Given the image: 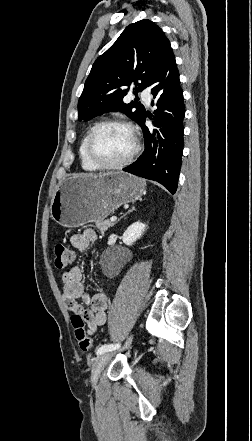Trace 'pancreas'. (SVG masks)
I'll use <instances>...</instances> for the list:
<instances>
[{
    "instance_id": "pancreas-1",
    "label": "pancreas",
    "mask_w": 252,
    "mask_h": 441,
    "mask_svg": "<svg viewBox=\"0 0 252 441\" xmlns=\"http://www.w3.org/2000/svg\"><path fill=\"white\" fill-rule=\"evenodd\" d=\"M94 222H95L96 228L101 232V234H104L108 228L113 226V222H111L109 220H97Z\"/></svg>"
}]
</instances>
